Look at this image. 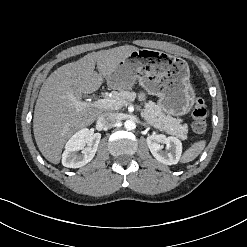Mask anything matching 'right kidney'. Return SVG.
<instances>
[{
    "instance_id": "obj_1",
    "label": "right kidney",
    "mask_w": 247,
    "mask_h": 247,
    "mask_svg": "<svg viewBox=\"0 0 247 247\" xmlns=\"http://www.w3.org/2000/svg\"><path fill=\"white\" fill-rule=\"evenodd\" d=\"M100 139V133L93 134L88 128L78 131L66 143L62 154L63 166L80 168L89 163L95 156Z\"/></svg>"
}]
</instances>
